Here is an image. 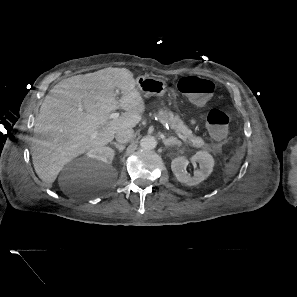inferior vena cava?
Instances as JSON below:
<instances>
[{"label": "inferior vena cava", "mask_w": 297, "mask_h": 297, "mask_svg": "<svg viewBox=\"0 0 297 297\" xmlns=\"http://www.w3.org/2000/svg\"><path fill=\"white\" fill-rule=\"evenodd\" d=\"M115 138H116L117 142L124 144V143H128L131 140H133L135 138V134H134L133 129L128 128V129H123V130L118 131L116 133Z\"/></svg>", "instance_id": "inferior-vena-cava-1"}]
</instances>
